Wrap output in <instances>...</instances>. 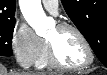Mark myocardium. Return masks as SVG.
I'll list each match as a JSON object with an SVG mask.
<instances>
[{
	"mask_svg": "<svg viewBox=\"0 0 107 75\" xmlns=\"http://www.w3.org/2000/svg\"><path fill=\"white\" fill-rule=\"evenodd\" d=\"M56 28L60 31L71 30L79 37L83 46L86 49L87 60L81 65H76V66L65 65L58 58L53 44L47 40L46 45H47L49 65L55 69L63 70V71H81L88 68L94 62V51L85 34L76 25L68 22H61L57 24Z\"/></svg>",
	"mask_w": 107,
	"mask_h": 75,
	"instance_id": "f54148a6",
	"label": "myocardium"
}]
</instances>
